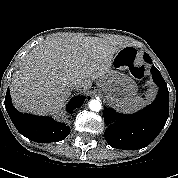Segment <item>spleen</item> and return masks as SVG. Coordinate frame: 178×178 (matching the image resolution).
<instances>
[{"instance_id": "spleen-1", "label": "spleen", "mask_w": 178, "mask_h": 178, "mask_svg": "<svg viewBox=\"0 0 178 178\" xmlns=\"http://www.w3.org/2000/svg\"><path fill=\"white\" fill-rule=\"evenodd\" d=\"M153 97H154L153 91L150 90L148 93H146V100H144L140 96H134L117 104V107L118 109L124 112L137 111L141 107H143L147 102L151 101Z\"/></svg>"}]
</instances>
